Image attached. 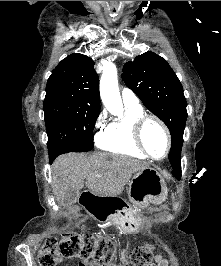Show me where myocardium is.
Wrapping results in <instances>:
<instances>
[{"label":"myocardium","instance_id":"obj_1","mask_svg":"<svg viewBox=\"0 0 221 266\" xmlns=\"http://www.w3.org/2000/svg\"><path fill=\"white\" fill-rule=\"evenodd\" d=\"M148 121H154L163 131L165 138H166V150L165 153L162 157L160 158H156L154 156H152L148 149L146 148L144 141H143V129L145 124ZM133 138L134 141L136 143V145L138 146V148L150 159L154 160V161H162L164 160L170 150H171V135H170V131L167 128L166 124L157 116L153 115V114H147V113H143L142 115H140L139 117H137L134 122H133Z\"/></svg>","mask_w":221,"mask_h":266}]
</instances>
